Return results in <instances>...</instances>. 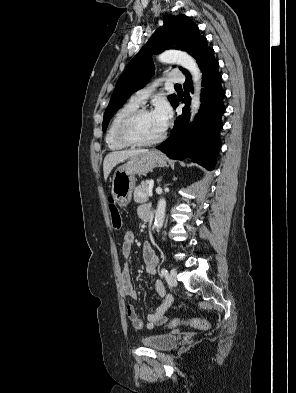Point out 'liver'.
<instances>
[{
    "instance_id": "1",
    "label": "liver",
    "mask_w": 296,
    "mask_h": 393,
    "mask_svg": "<svg viewBox=\"0 0 296 393\" xmlns=\"http://www.w3.org/2000/svg\"><path fill=\"white\" fill-rule=\"evenodd\" d=\"M147 152H149V150L147 149H135V150L114 151L107 154L103 162L104 179L107 180L111 170L117 164L124 162L128 158Z\"/></svg>"
}]
</instances>
